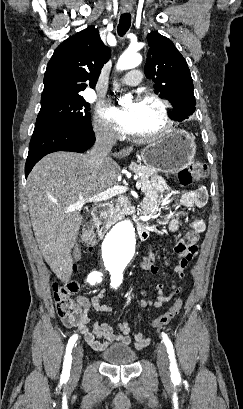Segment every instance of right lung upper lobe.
<instances>
[{"instance_id": "1", "label": "right lung upper lobe", "mask_w": 243, "mask_h": 409, "mask_svg": "<svg viewBox=\"0 0 243 409\" xmlns=\"http://www.w3.org/2000/svg\"><path fill=\"white\" fill-rule=\"evenodd\" d=\"M109 58L110 50L93 26L69 37L48 62L41 101L79 96L88 85L94 87Z\"/></svg>"}]
</instances>
